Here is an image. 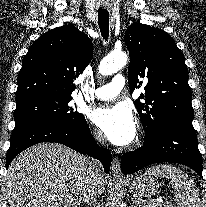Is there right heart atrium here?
<instances>
[{
	"mask_svg": "<svg viewBox=\"0 0 206 207\" xmlns=\"http://www.w3.org/2000/svg\"><path fill=\"white\" fill-rule=\"evenodd\" d=\"M92 136L97 143L102 144L104 142L102 134L95 129L92 131Z\"/></svg>",
	"mask_w": 206,
	"mask_h": 207,
	"instance_id": "obj_1",
	"label": "right heart atrium"
}]
</instances>
